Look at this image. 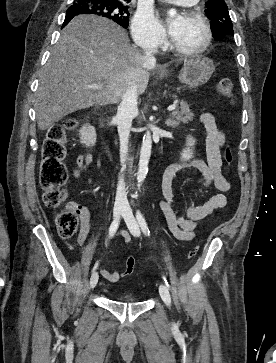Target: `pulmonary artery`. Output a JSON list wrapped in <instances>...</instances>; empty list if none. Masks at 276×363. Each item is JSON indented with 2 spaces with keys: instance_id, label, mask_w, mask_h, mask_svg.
Masks as SVG:
<instances>
[{
  "instance_id": "e3ab8cb5",
  "label": "pulmonary artery",
  "mask_w": 276,
  "mask_h": 363,
  "mask_svg": "<svg viewBox=\"0 0 276 363\" xmlns=\"http://www.w3.org/2000/svg\"><path fill=\"white\" fill-rule=\"evenodd\" d=\"M197 0H167L168 3L178 6H190L196 3Z\"/></svg>"
}]
</instances>
